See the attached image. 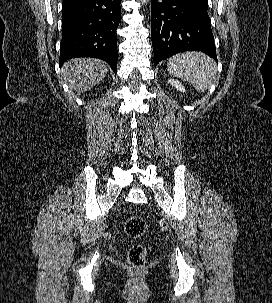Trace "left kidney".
Returning a JSON list of instances; mask_svg holds the SVG:
<instances>
[{"instance_id": "left-kidney-1", "label": "left kidney", "mask_w": 272, "mask_h": 303, "mask_svg": "<svg viewBox=\"0 0 272 303\" xmlns=\"http://www.w3.org/2000/svg\"><path fill=\"white\" fill-rule=\"evenodd\" d=\"M168 83L172 86V87H175L176 90L180 91V92H185L186 89L185 87L182 85V83H180L178 80L176 79H173V78H170L168 79Z\"/></svg>"}]
</instances>
